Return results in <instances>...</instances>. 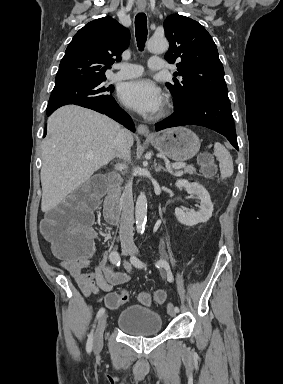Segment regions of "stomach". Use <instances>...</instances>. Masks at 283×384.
<instances>
[{
  "label": "stomach",
  "mask_w": 283,
  "mask_h": 384,
  "mask_svg": "<svg viewBox=\"0 0 283 384\" xmlns=\"http://www.w3.org/2000/svg\"><path fill=\"white\" fill-rule=\"evenodd\" d=\"M158 152L165 154L171 160L176 162H185L194 158L200 150V142L198 136L187 130V128H173L167 130L162 136H149L146 138Z\"/></svg>",
  "instance_id": "stomach-1"
}]
</instances>
